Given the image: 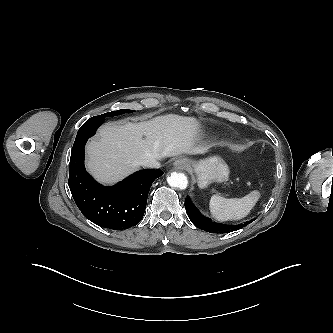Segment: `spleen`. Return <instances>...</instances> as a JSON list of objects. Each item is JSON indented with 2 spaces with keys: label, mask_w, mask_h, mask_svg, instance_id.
<instances>
[{
  "label": "spleen",
  "mask_w": 333,
  "mask_h": 333,
  "mask_svg": "<svg viewBox=\"0 0 333 333\" xmlns=\"http://www.w3.org/2000/svg\"><path fill=\"white\" fill-rule=\"evenodd\" d=\"M260 197L258 191H252L242 198L226 199L213 195L209 202L210 212L219 221L239 220L246 217Z\"/></svg>",
  "instance_id": "3e777b00"
}]
</instances>
